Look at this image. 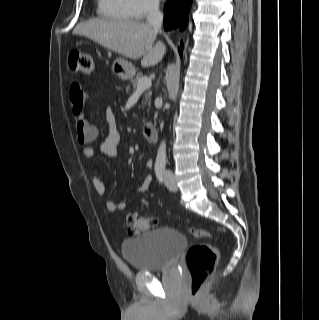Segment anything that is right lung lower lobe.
Instances as JSON below:
<instances>
[{
    "label": "right lung lower lobe",
    "mask_w": 319,
    "mask_h": 320,
    "mask_svg": "<svg viewBox=\"0 0 319 320\" xmlns=\"http://www.w3.org/2000/svg\"><path fill=\"white\" fill-rule=\"evenodd\" d=\"M191 3L192 0H168L164 6V28L166 30L177 27L184 29L188 22Z\"/></svg>",
    "instance_id": "right-lung-lower-lobe-1"
}]
</instances>
